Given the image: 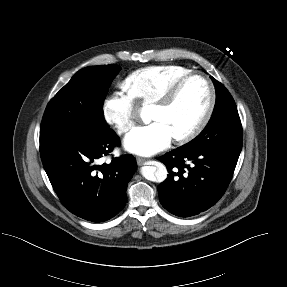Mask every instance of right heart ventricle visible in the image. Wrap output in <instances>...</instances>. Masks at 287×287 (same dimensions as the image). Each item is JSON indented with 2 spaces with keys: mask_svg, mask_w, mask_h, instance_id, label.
<instances>
[{
  "mask_svg": "<svg viewBox=\"0 0 287 287\" xmlns=\"http://www.w3.org/2000/svg\"><path fill=\"white\" fill-rule=\"evenodd\" d=\"M191 70L179 65L150 66L132 72L126 87L135 100L154 103L182 76Z\"/></svg>",
  "mask_w": 287,
  "mask_h": 287,
  "instance_id": "e07e8e85",
  "label": "right heart ventricle"
}]
</instances>
